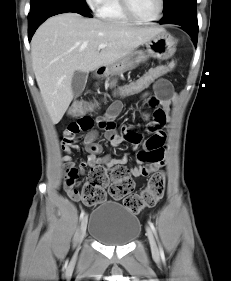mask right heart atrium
Segmentation results:
<instances>
[{"label":"right heart atrium","instance_id":"1","mask_svg":"<svg viewBox=\"0 0 231 281\" xmlns=\"http://www.w3.org/2000/svg\"><path fill=\"white\" fill-rule=\"evenodd\" d=\"M85 2L92 10L98 12L105 0H85Z\"/></svg>","mask_w":231,"mask_h":281}]
</instances>
